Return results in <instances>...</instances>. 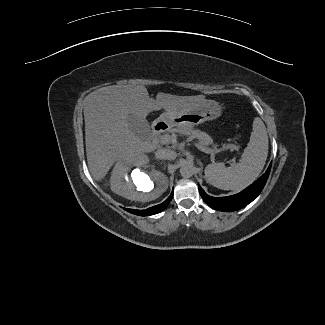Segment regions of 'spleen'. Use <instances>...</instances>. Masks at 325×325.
I'll use <instances>...</instances> for the list:
<instances>
[{
  "label": "spleen",
  "mask_w": 325,
  "mask_h": 325,
  "mask_svg": "<svg viewBox=\"0 0 325 325\" xmlns=\"http://www.w3.org/2000/svg\"><path fill=\"white\" fill-rule=\"evenodd\" d=\"M268 155V135L263 121L256 117L250 141L238 163L224 167L223 163L205 168V178L222 190H240L255 181L264 168Z\"/></svg>",
  "instance_id": "spleen-1"
}]
</instances>
